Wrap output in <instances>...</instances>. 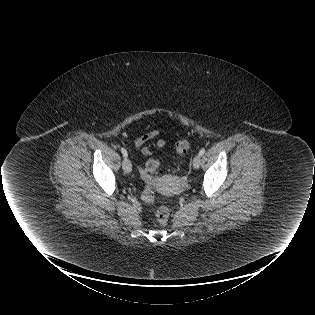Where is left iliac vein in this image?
<instances>
[{
    "instance_id": "1",
    "label": "left iliac vein",
    "mask_w": 315,
    "mask_h": 315,
    "mask_svg": "<svg viewBox=\"0 0 315 315\" xmlns=\"http://www.w3.org/2000/svg\"><path fill=\"white\" fill-rule=\"evenodd\" d=\"M201 165V155L197 154L193 159V167L198 169Z\"/></svg>"
}]
</instances>
